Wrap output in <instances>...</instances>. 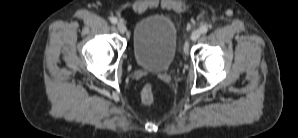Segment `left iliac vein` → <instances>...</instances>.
Segmentation results:
<instances>
[{
    "label": "left iliac vein",
    "mask_w": 298,
    "mask_h": 138,
    "mask_svg": "<svg viewBox=\"0 0 298 138\" xmlns=\"http://www.w3.org/2000/svg\"><path fill=\"white\" fill-rule=\"evenodd\" d=\"M201 35V32L200 30L196 29L192 32L191 36H190V39L192 41H196ZM187 48V45L185 46V49Z\"/></svg>",
    "instance_id": "4c4485c4"
}]
</instances>
